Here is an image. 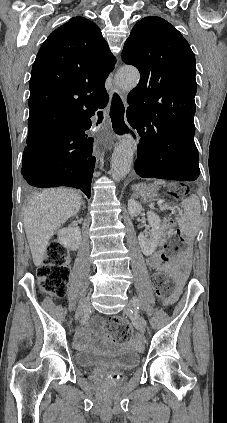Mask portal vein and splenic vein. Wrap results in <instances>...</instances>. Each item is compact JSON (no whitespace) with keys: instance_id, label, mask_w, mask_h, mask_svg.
<instances>
[{"instance_id":"portal-vein-and-splenic-vein-1","label":"portal vein and splenic vein","mask_w":227,"mask_h":423,"mask_svg":"<svg viewBox=\"0 0 227 423\" xmlns=\"http://www.w3.org/2000/svg\"><path fill=\"white\" fill-rule=\"evenodd\" d=\"M164 200L160 199L158 205L160 206L161 210H170L171 213H182V209L178 208L177 205H163Z\"/></svg>"}]
</instances>
